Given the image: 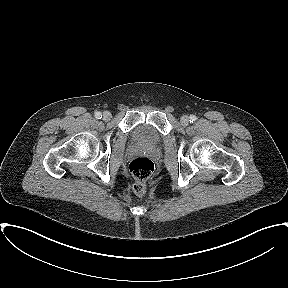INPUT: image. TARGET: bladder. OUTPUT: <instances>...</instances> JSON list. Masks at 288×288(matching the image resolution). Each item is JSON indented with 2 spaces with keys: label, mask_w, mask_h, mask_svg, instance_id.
Here are the masks:
<instances>
[{
  "label": "bladder",
  "mask_w": 288,
  "mask_h": 288,
  "mask_svg": "<svg viewBox=\"0 0 288 288\" xmlns=\"http://www.w3.org/2000/svg\"><path fill=\"white\" fill-rule=\"evenodd\" d=\"M134 140L145 146H154L159 143L160 135L149 125H139L133 132Z\"/></svg>",
  "instance_id": "bladder-1"
}]
</instances>
